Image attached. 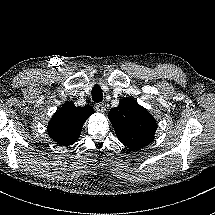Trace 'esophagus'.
<instances>
[{
    "label": "esophagus",
    "mask_w": 215,
    "mask_h": 215,
    "mask_svg": "<svg viewBox=\"0 0 215 215\" xmlns=\"http://www.w3.org/2000/svg\"><path fill=\"white\" fill-rule=\"evenodd\" d=\"M95 109L99 113H104L106 108H105V105L103 103H97L95 105Z\"/></svg>",
    "instance_id": "obj_1"
}]
</instances>
